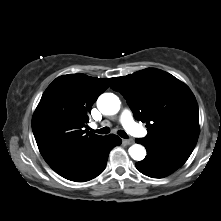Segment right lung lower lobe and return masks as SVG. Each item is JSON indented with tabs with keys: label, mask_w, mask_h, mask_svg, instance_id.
Instances as JSON below:
<instances>
[{
	"label": "right lung lower lobe",
	"mask_w": 221,
	"mask_h": 221,
	"mask_svg": "<svg viewBox=\"0 0 221 221\" xmlns=\"http://www.w3.org/2000/svg\"><path fill=\"white\" fill-rule=\"evenodd\" d=\"M121 143V139L114 134L103 136L85 149L48 164L68 180L85 182L97 177L104 170L109 152Z\"/></svg>",
	"instance_id": "obj_1"
}]
</instances>
